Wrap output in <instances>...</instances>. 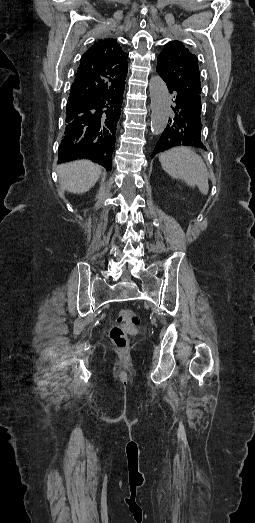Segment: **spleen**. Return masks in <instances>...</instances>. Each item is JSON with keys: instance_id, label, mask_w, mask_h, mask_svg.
<instances>
[{"instance_id": "obj_1", "label": "spleen", "mask_w": 255, "mask_h": 523, "mask_svg": "<svg viewBox=\"0 0 255 523\" xmlns=\"http://www.w3.org/2000/svg\"><path fill=\"white\" fill-rule=\"evenodd\" d=\"M159 162L171 178L184 180L188 186H197L201 194H208L207 168L200 156L189 148H171L162 152Z\"/></svg>"}]
</instances>
